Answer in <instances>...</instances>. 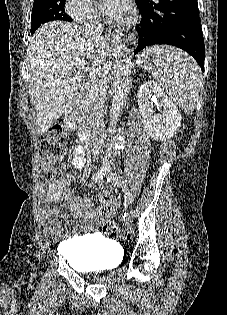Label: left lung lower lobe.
Here are the masks:
<instances>
[{"label":"left lung lower lobe","instance_id":"left-lung-lower-lobe-1","mask_svg":"<svg viewBox=\"0 0 227 315\" xmlns=\"http://www.w3.org/2000/svg\"><path fill=\"white\" fill-rule=\"evenodd\" d=\"M142 18L137 25L138 46L168 44L188 52L204 71V39L197 0H136Z\"/></svg>","mask_w":227,"mask_h":315}]
</instances>
